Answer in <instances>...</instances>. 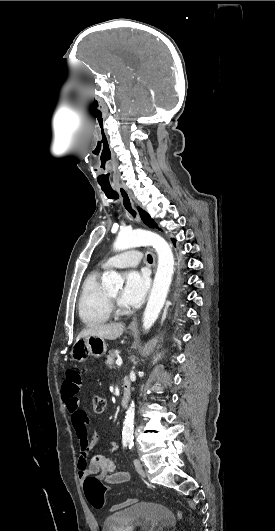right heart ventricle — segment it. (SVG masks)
<instances>
[{"label": "right heart ventricle", "instance_id": "e07e8e85", "mask_svg": "<svg viewBox=\"0 0 275 531\" xmlns=\"http://www.w3.org/2000/svg\"><path fill=\"white\" fill-rule=\"evenodd\" d=\"M81 320L89 325H102L111 317V305L106 290L100 283V274L93 272L83 280L78 299Z\"/></svg>", "mask_w": 275, "mask_h": 531}]
</instances>
